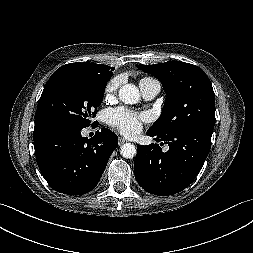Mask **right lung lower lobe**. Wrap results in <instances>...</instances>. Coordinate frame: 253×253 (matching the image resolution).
Masks as SVG:
<instances>
[{
  "label": "right lung lower lobe",
  "mask_w": 253,
  "mask_h": 253,
  "mask_svg": "<svg viewBox=\"0 0 253 253\" xmlns=\"http://www.w3.org/2000/svg\"><path fill=\"white\" fill-rule=\"evenodd\" d=\"M82 129L48 125L34 129L36 161L47 183L57 192L80 195L93 190L108 159L118 146V137L102 128L93 138Z\"/></svg>",
  "instance_id": "obj_1"
}]
</instances>
